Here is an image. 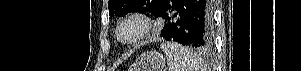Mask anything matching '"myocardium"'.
I'll list each match as a JSON object with an SVG mask.
<instances>
[{
    "label": "myocardium",
    "instance_id": "1",
    "mask_svg": "<svg viewBox=\"0 0 301 71\" xmlns=\"http://www.w3.org/2000/svg\"><path fill=\"white\" fill-rule=\"evenodd\" d=\"M128 25L135 26L134 34L129 38L122 36V29ZM152 29V19L143 13H133L125 16L117 25L116 38L123 45H134L145 38Z\"/></svg>",
    "mask_w": 301,
    "mask_h": 71
}]
</instances>
